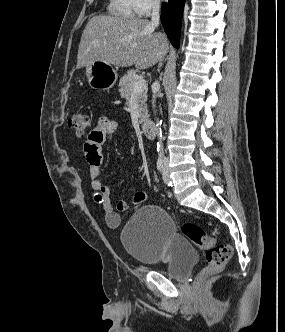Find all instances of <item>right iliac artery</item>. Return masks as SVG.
I'll list each match as a JSON object with an SVG mask.
<instances>
[{
	"instance_id": "82829eb1",
	"label": "right iliac artery",
	"mask_w": 285,
	"mask_h": 332,
	"mask_svg": "<svg viewBox=\"0 0 285 332\" xmlns=\"http://www.w3.org/2000/svg\"><path fill=\"white\" fill-rule=\"evenodd\" d=\"M164 168V161L163 160H158L157 161V169L158 171L162 172Z\"/></svg>"
}]
</instances>
